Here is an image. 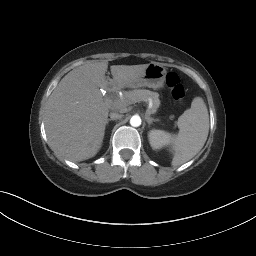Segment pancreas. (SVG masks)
I'll list each match as a JSON object with an SVG mask.
<instances>
[{"label":"pancreas","instance_id":"obj_1","mask_svg":"<svg viewBox=\"0 0 256 256\" xmlns=\"http://www.w3.org/2000/svg\"><path fill=\"white\" fill-rule=\"evenodd\" d=\"M123 96V100L119 99V103L123 107L141 101L148 103L149 100H151L152 107L150 108V113L154 114L156 113L157 109L160 106L159 94L157 92H152L150 90L136 89L129 92H125ZM173 118L174 116H170V119Z\"/></svg>","mask_w":256,"mask_h":256}]
</instances>
